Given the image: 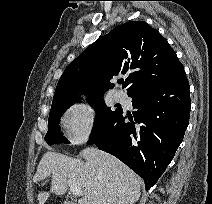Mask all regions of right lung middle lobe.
Returning <instances> with one entry per match:
<instances>
[{
  "label": "right lung middle lobe",
  "mask_w": 212,
  "mask_h": 204,
  "mask_svg": "<svg viewBox=\"0 0 212 204\" xmlns=\"http://www.w3.org/2000/svg\"><path fill=\"white\" fill-rule=\"evenodd\" d=\"M89 102L97 112V117L94 121L93 132L91 134V136H93L102 130L109 122H111L112 119L122 110V108L118 107L116 110L112 111L105 105L102 96L91 98L89 99ZM72 104L73 103L51 109L48 121V132L45 136V141L49 145L68 142L66 138L62 136V133L60 132V126L58 124L60 117Z\"/></svg>",
  "instance_id": "right-lung-middle-lobe-1"
}]
</instances>
